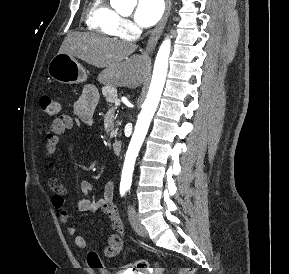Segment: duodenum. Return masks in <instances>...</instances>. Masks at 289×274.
<instances>
[{"mask_svg":"<svg viewBox=\"0 0 289 274\" xmlns=\"http://www.w3.org/2000/svg\"><path fill=\"white\" fill-rule=\"evenodd\" d=\"M112 149H113L114 153L119 154L122 150V142L120 140L113 141Z\"/></svg>","mask_w":289,"mask_h":274,"instance_id":"410a0bca","label":"duodenum"}]
</instances>
